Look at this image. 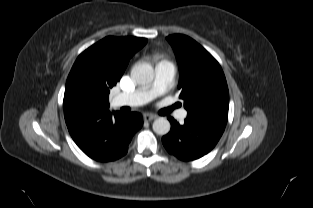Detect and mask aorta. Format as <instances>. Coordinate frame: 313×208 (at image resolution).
<instances>
[{
    "instance_id": "1",
    "label": "aorta",
    "mask_w": 313,
    "mask_h": 208,
    "mask_svg": "<svg viewBox=\"0 0 313 208\" xmlns=\"http://www.w3.org/2000/svg\"><path fill=\"white\" fill-rule=\"evenodd\" d=\"M131 76L140 85L150 84L154 79V70L148 63L135 64L131 70ZM153 131L158 135H166L171 128L170 122L164 118L159 117L153 122Z\"/></svg>"
}]
</instances>
